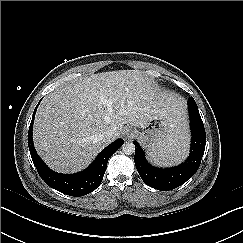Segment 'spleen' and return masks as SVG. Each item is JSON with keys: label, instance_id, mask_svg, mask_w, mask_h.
Masks as SVG:
<instances>
[{"label": "spleen", "instance_id": "spleen-1", "mask_svg": "<svg viewBox=\"0 0 243 243\" xmlns=\"http://www.w3.org/2000/svg\"><path fill=\"white\" fill-rule=\"evenodd\" d=\"M189 143L186 133H171V135L152 154L154 163L171 166L183 161L188 153Z\"/></svg>", "mask_w": 243, "mask_h": 243}]
</instances>
